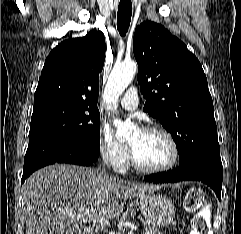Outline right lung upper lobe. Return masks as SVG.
Returning a JSON list of instances; mask_svg holds the SVG:
<instances>
[{
	"label": "right lung upper lobe",
	"mask_w": 241,
	"mask_h": 234,
	"mask_svg": "<svg viewBox=\"0 0 241 234\" xmlns=\"http://www.w3.org/2000/svg\"><path fill=\"white\" fill-rule=\"evenodd\" d=\"M105 51L101 31L92 30L84 37L61 42L46 58L34 106L63 102L97 107Z\"/></svg>",
	"instance_id": "cb5924a9"
}]
</instances>
